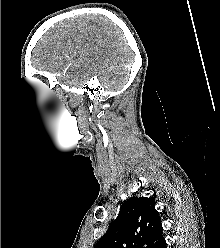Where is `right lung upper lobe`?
I'll return each mask as SVG.
<instances>
[{"instance_id": "cb5924a9", "label": "right lung upper lobe", "mask_w": 220, "mask_h": 248, "mask_svg": "<svg viewBox=\"0 0 220 248\" xmlns=\"http://www.w3.org/2000/svg\"><path fill=\"white\" fill-rule=\"evenodd\" d=\"M155 201L131 197L125 201L107 233L94 248H156L163 240Z\"/></svg>"}]
</instances>
